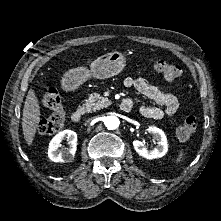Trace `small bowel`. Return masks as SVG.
I'll use <instances>...</instances> for the list:
<instances>
[{
    "mask_svg": "<svg viewBox=\"0 0 221 221\" xmlns=\"http://www.w3.org/2000/svg\"><path fill=\"white\" fill-rule=\"evenodd\" d=\"M124 86L127 88H133L137 90L147 98L154 101L156 104L163 107H152L146 104L142 105L140 107V113L147 118L160 120L164 116L172 117L175 115L179 108L180 102L176 95L150 84L143 77H127L124 80ZM124 101L129 102L132 107L133 100L131 98H126L123 100V102Z\"/></svg>",
    "mask_w": 221,
    "mask_h": 221,
    "instance_id": "1",
    "label": "small bowel"
}]
</instances>
